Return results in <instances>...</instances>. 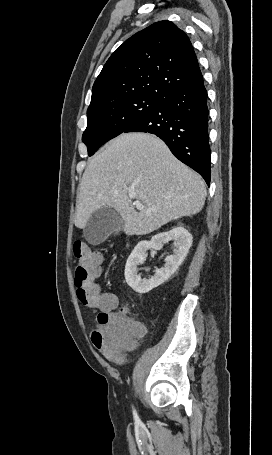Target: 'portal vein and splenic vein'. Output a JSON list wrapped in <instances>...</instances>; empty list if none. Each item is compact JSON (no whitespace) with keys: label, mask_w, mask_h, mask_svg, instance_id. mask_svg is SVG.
<instances>
[{"label":"portal vein and splenic vein","mask_w":272,"mask_h":455,"mask_svg":"<svg viewBox=\"0 0 272 455\" xmlns=\"http://www.w3.org/2000/svg\"><path fill=\"white\" fill-rule=\"evenodd\" d=\"M129 197H130L131 199H134V198H135V193H134L133 191H130V192H129ZM134 205L136 206L137 209H143V205H142L141 202H139V201H135V202H134Z\"/></svg>","instance_id":"obj_1"}]
</instances>
